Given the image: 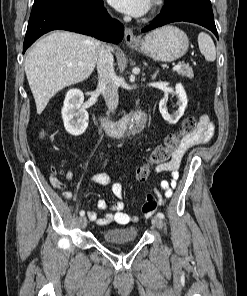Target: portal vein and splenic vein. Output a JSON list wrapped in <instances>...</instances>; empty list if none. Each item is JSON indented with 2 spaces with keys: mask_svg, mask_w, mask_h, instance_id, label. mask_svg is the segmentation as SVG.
Segmentation results:
<instances>
[{
  "mask_svg": "<svg viewBox=\"0 0 247 296\" xmlns=\"http://www.w3.org/2000/svg\"><path fill=\"white\" fill-rule=\"evenodd\" d=\"M181 66H182L181 63H178V64L174 65L173 71L179 70L181 68Z\"/></svg>",
  "mask_w": 247,
  "mask_h": 296,
  "instance_id": "obj_1",
  "label": "portal vein and splenic vein"
}]
</instances>
